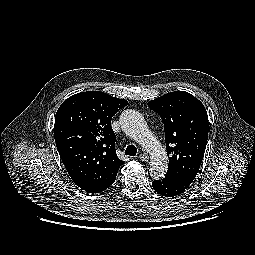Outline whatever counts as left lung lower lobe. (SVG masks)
<instances>
[{
	"mask_svg": "<svg viewBox=\"0 0 255 255\" xmlns=\"http://www.w3.org/2000/svg\"><path fill=\"white\" fill-rule=\"evenodd\" d=\"M152 187L154 190L165 197H174L181 194L189 187V184L175 181L171 178L165 177L163 179L153 181Z\"/></svg>",
	"mask_w": 255,
	"mask_h": 255,
	"instance_id": "0a47b994",
	"label": "left lung lower lobe"
}]
</instances>
